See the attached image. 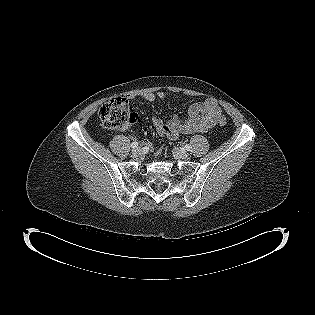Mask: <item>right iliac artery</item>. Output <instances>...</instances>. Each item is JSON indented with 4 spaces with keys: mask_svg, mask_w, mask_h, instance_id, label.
<instances>
[{
    "mask_svg": "<svg viewBox=\"0 0 315 315\" xmlns=\"http://www.w3.org/2000/svg\"><path fill=\"white\" fill-rule=\"evenodd\" d=\"M137 146H138V142H132V144H131V148L132 149H135V148H137Z\"/></svg>",
    "mask_w": 315,
    "mask_h": 315,
    "instance_id": "obj_1",
    "label": "right iliac artery"
}]
</instances>
